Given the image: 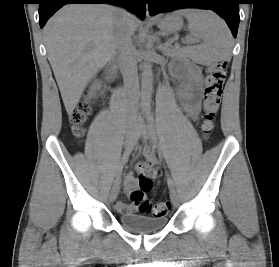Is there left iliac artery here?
Here are the masks:
<instances>
[{"mask_svg": "<svg viewBox=\"0 0 279 267\" xmlns=\"http://www.w3.org/2000/svg\"><path fill=\"white\" fill-rule=\"evenodd\" d=\"M147 125H148V129H149L151 141L153 142V144L157 145V135H156L155 127H154L153 116L151 115V113L147 114ZM167 183H168L169 189L171 191H174L175 186H174L173 180L170 178V176L168 174H167Z\"/></svg>", "mask_w": 279, "mask_h": 267, "instance_id": "44dca946", "label": "left iliac artery"}]
</instances>
